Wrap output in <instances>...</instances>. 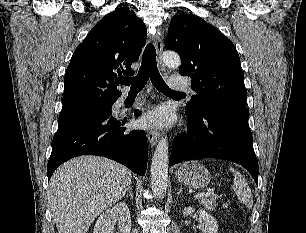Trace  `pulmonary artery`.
I'll list each match as a JSON object with an SVG mask.
<instances>
[{
  "label": "pulmonary artery",
  "instance_id": "1",
  "mask_svg": "<svg viewBox=\"0 0 306 233\" xmlns=\"http://www.w3.org/2000/svg\"><path fill=\"white\" fill-rule=\"evenodd\" d=\"M169 85L170 88L174 91H179V92H190L194 93L193 90L190 89L187 81L183 78L180 77H171L169 79ZM125 99V96H121L119 100L117 101L118 104H121Z\"/></svg>",
  "mask_w": 306,
  "mask_h": 233
}]
</instances>
